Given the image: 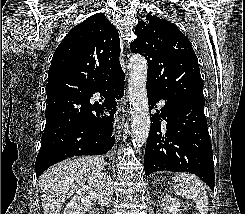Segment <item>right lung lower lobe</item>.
I'll use <instances>...</instances> for the list:
<instances>
[{
    "instance_id": "1",
    "label": "right lung lower lobe",
    "mask_w": 245,
    "mask_h": 214,
    "mask_svg": "<svg viewBox=\"0 0 245 214\" xmlns=\"http://www.w3.org/2000/svg\"><path fill=\"white\" fill-rule=\"evenodd\" d=\"M124 73L103 84L98 90L105 99L102 105L91 104L90 98L73 107L64 94L47 97L46 125L41 148L35 162L39 177L48 167L66 158L82 155H101L114 145L113 118L115 100L124 95ZM105 106L110 116L100 119ZM95 112V113H94Z\"/></svg>"
}]
</instances>
